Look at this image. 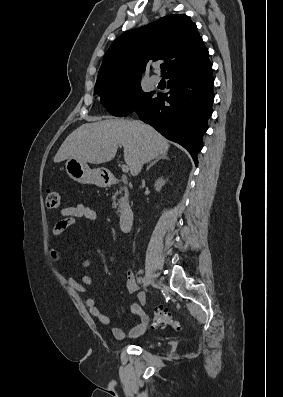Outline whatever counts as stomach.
Instances as JSON below:
<instances>
[{
    "label": "stomach",
    "instance_id": "stomach-1",
    "mask_svg": "<svg viewBox=\"0 0 283 397\" xmlns=\"http://www.w3.org/2000/svg\"><path fill=\"white\" fill-rule=\"evenodd\" d=\"M65 168L69 177L79 183L95 184L97 186H103L105 183L102 169H90L88 164L82 160L69 158L65 164Z\"/></svg>",
    "mask_w": 283,
    "mask_h": 397
}]
</instances>
